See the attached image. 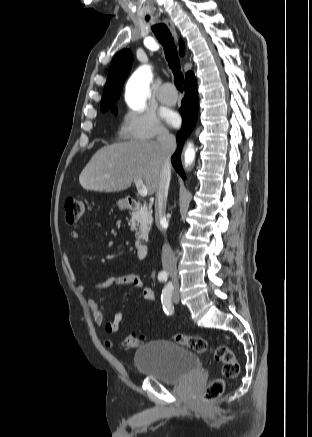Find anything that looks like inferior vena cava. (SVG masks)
<instances>
[{"instance_id":"obj_1","label":"inferior vena cava","mask_w":312,"mask_h":437,"mask_svg":"<svg viewBox=\"0 0 312 437\" xmlns=\"http://www.w3.org/2000/svg\"><path fill=\"white\" fill-rule=\"evenodd\" d=\"M157 141L159 143L161 167L156 191L155 219L158 228L165 234L166 230L162 228V224L166 223L165 211L171 178L170 157L176 149V139L169 131L162 130L158 135ZM161 258L163 269L171 274H176V257L167 242L162 247Z\"/></svg>"}]
</instances>
